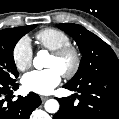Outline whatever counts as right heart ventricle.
Segmentation results:
<instances>
[{
	"instance_id": "1",
	"label": "right heart ventricle",
	"mask_w": 119,
	"mask_h": 119,
	"mask_svg": "<svg viewBox=\"0 0 119 119\" xmlns=\"http://www.w3.org/2000/svg\"><path fill=\"white\" fill-rule=\"evenodd\" d=\"M36 41L41 48L53 51L71 44L69 35L57 28H45L35 35Z\"/></svg>"
}]
</instances>
